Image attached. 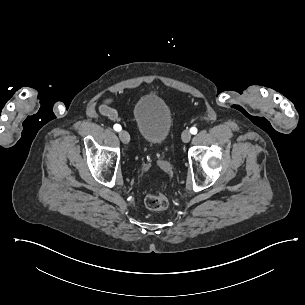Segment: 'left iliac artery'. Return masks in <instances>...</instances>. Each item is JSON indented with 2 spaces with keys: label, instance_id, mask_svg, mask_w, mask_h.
<instances>
[{
  "label": "left iliac artery",
  "instance_id": "44dca946",
  "mask_svg": "<svg viewBox=\"0 0 305 305\" xmlns=\"http://www.w3.org/2000/svg\"><path fill=\"white\" fill-rule=\"evenodd\" d=\"M190 132H191V134H196L197 133V128L196 127H192L191 129H190Z\"/></svg>",
  "mask_w": 305,
  "mask_h": 305
}]
</instances>
